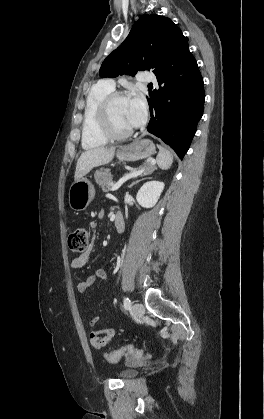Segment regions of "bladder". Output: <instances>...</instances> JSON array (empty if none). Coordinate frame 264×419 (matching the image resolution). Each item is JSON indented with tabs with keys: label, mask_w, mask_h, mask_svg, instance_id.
<instances>
[{
	"label": "bladder",
	"mask_w": 264,
	"mask_h": 419,
	"mask_svg": "<svg viewBox=\"0 0 264 419\" xmlns=\"http://www.w3.org/2000/svg\"><path fill=\"white\" fill-rule=\"evenodd\" d=\"M138 374H139L138 369L134 366H131V367H128V368H125V369L121 370L118 373V376L121 379H131V378L136 377Z\"/></svg>",
	"instance_id": "31cf9c89"
}]
</instances>
